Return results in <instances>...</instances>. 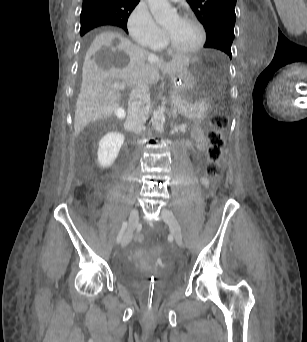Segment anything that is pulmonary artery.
<instances>
[{
  "instance_id": "pulmonary-artery-1",
  "label": "pulmonary artery",
  "mask_w": 307,
  "mask_h": 342,
  "mask_svg": "<svg viewBox=\"0 0 307 342\" xmlns=\"http://www.w3.org/2000/svg\"><path fill=\"white\" fill-rule=\"evenodd\" d=\"M170 2H179V1H170Z\"/></svg>"
}]
</instances>
